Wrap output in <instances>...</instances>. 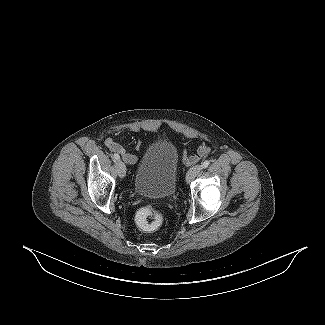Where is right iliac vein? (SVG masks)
Segmentation results:
<instances>
[{
    "instance_id": "63e3f726",
    "label": "right iliac vein",
    "mask_w": 325,
    "mask_h": 325,
    "mask_svg": "<svg viewBox=\"0 0 325 325\" xmlns=\"http://www.w3.org/2000/svg\"><path fill=\"white\" fill-rule=\"evenodd\" d=\"M118 174L121 178L126 175V166L123 161L118 160L116 163Z\"/></svg>"
}]
</instances>
